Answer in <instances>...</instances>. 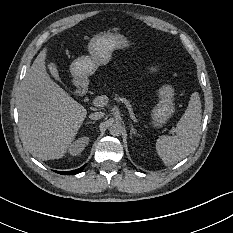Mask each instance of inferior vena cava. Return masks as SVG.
<instances>
[{
    "mask_svg": "<svg viewBox=\"0 0 233 233\" xmlns=\"http://www.w3.org/2000/svg\"><path fill=\"white\" fill-rule=\"evenodd\" d=\"M104 113L103 112H94L89 115V118L92 120H99L103 118Z\"/></svg>",
    "mask_w": 233,
    "mask_h": 233,
    "instance_id": "602c4592",
    "label": "inferior vena cava"
}]
</instances>
